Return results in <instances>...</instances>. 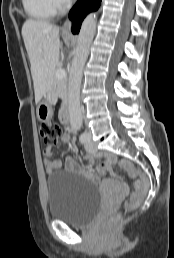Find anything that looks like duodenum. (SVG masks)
<instances>
[{
    "mask_svg": "<svg viewBox=\"0 0 174 258\" xmlns=\"http://www.w3.org/2000/svg\"><path fill=\"white\" fill-rule=\"evenodd\" d=\"M60 119L65 125L70 123V105L67 99L62 102Z\"/></svg>",
    "mask_w": 174,
    "mask_h": 258,
    "instance_id": "duodenum-1",
    "label": "duodenum"
}]
</instances>
